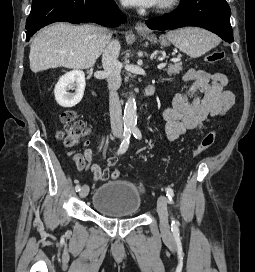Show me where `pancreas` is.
<instances>
[{
    "mask_svg": "<svg viewBox=\"0 0 255 272\" xmlns=\"http://www.w3.org/2000/svg\"><path fill=\"white\" fill-rule=\"evenodd\" d=\"M181 70L182 63L170 64L167 69H164V71H166L170 76L179 74Z\"/></svg>",
    "mask_w": 255,
    "mask_h": 272,
    "instance_id": "pancreas-1",
    "label": "pancreas"
}]
</instances>
